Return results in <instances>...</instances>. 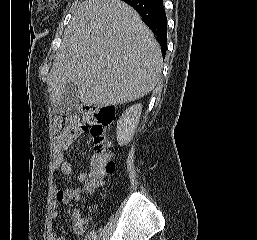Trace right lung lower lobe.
Returning <instances> with one entry per match:
<instances>
[{"label": "right lung lower lobe", "instance_id": "1", "mask_svg": "<svg viewBox=\"0 0 257 240\" xmlns=\"http://www.w3.org/2000/svg\"><path fill=\"white\" fill-rule=\"evenodd\" d=\"M125 2L140 14L144 23L154 32L164 57L167 49V17L163 0H125Z\"/></svg>", "mask_w": 257, "mask_h": 240}]
</instances>
